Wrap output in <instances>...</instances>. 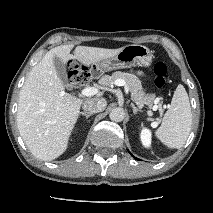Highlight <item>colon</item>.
<instances>
[{"instance_id": "1", "label": "colon", "mask_w": 213, "mask_h": 213, "mask_svg": "<svg viewBox=\"0 0 213 213\" xmlns=\"http://www.w3.org/2000/svg\"><path fill=\"white\" fill-rule=\"evenodd\" d=\"M155 75L154 83L157 88H163L166 84L168 67L164 62H158L154 65ZM69 85L73 90L79 89L89 81V75L79 65H73L69 72Z\"/></svg>"}]
</instances>
